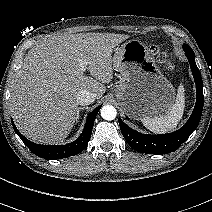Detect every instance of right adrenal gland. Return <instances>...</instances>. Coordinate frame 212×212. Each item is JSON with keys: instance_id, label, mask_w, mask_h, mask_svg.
Returning a JSON list of instances; mask_svg holds the SVG:
<instances>
[{"instance_id": "2a0ac1e0", "label": "right adrenal gland", "mask_w": 212, "mask_h": 212, "mask_svg": "<svg viewBox=\"0 0 212 212\" xmlns=\"http://www.w3.org/2000/svg\"><path fill=\"white\" fill-rule=\"evenodd\" d=\"M83 109H84V107H79V108H78L76 121L79 119L80 111L83 110Z\"/></svg>"}]
</instances>
